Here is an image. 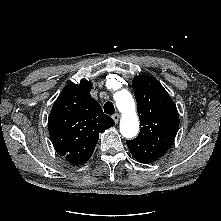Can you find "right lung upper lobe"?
<instances>
[{
    "mask_svg": "<svg viewBox=\"0 0 221 221\" xmlns=\"http://www.w3.org/2000/svg\"><path fill=\"white\" fill-rule=\"evenodd\" d=\"M92 82L64 87L55 101L48 121L56 151L73 165L85 163L94 152L99 133L114 126L99 103L90 95Z\"/></svg>",
    "mask_w": 221,
    "mask_h": 221,
    "instance_id": "1",
    "label": "right lung upper lobe"
}]
</instances>
